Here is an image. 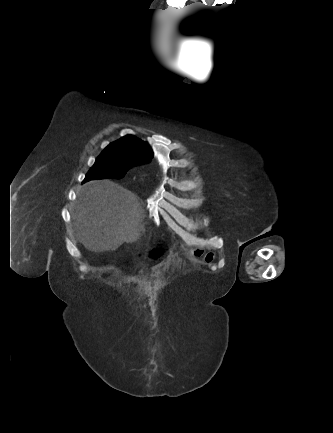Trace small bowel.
Listing matches in <instances>:
<instances>
[{"instance_id":"obj_1","label":"small bowel","mask_w":333,"mask_h":433,"mask_svg":"<svg viewBox=\"0 0 333 433\" xmlns=\"http://www.w3.org/2000/svg\"><path fill=\"white\" fill-rule=\"evenodd\" d=\"M188 258H204L207 263H211L214 259V251L211 248L194 247L186 251Z\"/></svg>"}]
</instances>
